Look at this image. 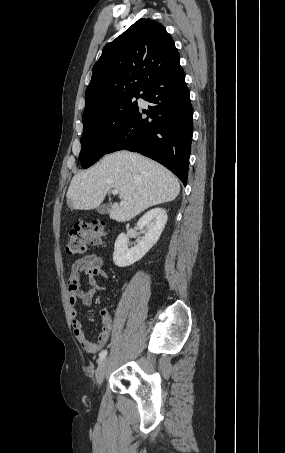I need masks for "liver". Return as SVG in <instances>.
<instances>
[{"label":"liver","mask_w":285,"mask_h":453,"mask_svg":"<svg viewBox=\"0 0 285 453\" xmlns=\"http://www.w3.org/2000/svg\"><path fill=\"white\" fill-rule=\"evenodd\" d=\"M110 189H118L109 217L125 222L151 206L173 201L180 192L178 179L165 167L140 154L118 151L104 156L90 169L76 174L67 191V205L91 210Z\"/></svg>","instance_id":"liver-1"}]
</instances>
